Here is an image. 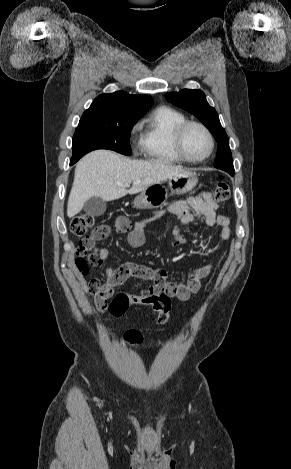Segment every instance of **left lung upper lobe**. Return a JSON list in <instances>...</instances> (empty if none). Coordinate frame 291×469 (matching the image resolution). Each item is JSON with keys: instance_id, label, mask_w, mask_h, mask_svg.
<instances>
[{"instance_id": "left-lung-upper-lobe-1", "label": "left lung upper lobe", "mask_w": 291, "mask_h": 469, "mask_svg": "<svg viewBox=\"0 0 291 469\" xmlns=\"http://www.w3.org/2000/svg\"><path fill=\"white\" fill-rule=\"evenodd\" d=\"M165 98L173 105L196 116L209 129L218 143L214 166L233 175L234 167L229 138L221 126L216 110L208 104L203 91L183 89L179 92L166 93Z\"/></svg>"}]
</instances>
